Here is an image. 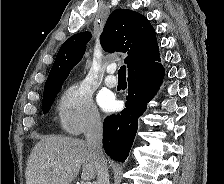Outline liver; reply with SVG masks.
I'll list each match as a JSON object with an SVG mask.
<instances>
[{
  "label": "liver",
  "mask_w": 224,
  "mask_h": 184,
  "mask_svg": "<svg viewBox=\"0 0 224 184\" xmlns=\"http://www.w3.org/2000/svg\"><path fill=\"white\" fill-rule=\"evenodd\" d=\"M99 159L87 142L48 135L33 148L27 161L26 184H70L82 167L83 181L95 179Z\"/></svg>",
  "instance_id": "obj_1"
}]
</instances>
